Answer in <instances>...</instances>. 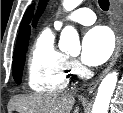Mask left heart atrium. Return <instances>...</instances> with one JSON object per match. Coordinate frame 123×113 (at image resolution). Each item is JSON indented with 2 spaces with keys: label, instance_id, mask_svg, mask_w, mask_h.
<instances>
[{
  "label": "left heart atrium",
  "instance_id": "1",
  "mask_svg": "<svg viewBox=\"0 0 123 113\" xmlns=\"http://www.w3.org/2000/svg\"><path fill=\"white\" fill-rule=\"evenodd\" d=\"M114 49L113 36L109 29L97 26L88 30L82 42V61L97 66L109 59Z\"/></svg>",
  "mask_w": 123,
  "mask_h": 113
}]
</instances>
